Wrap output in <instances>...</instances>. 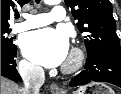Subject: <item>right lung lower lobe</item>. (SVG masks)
<instances>
[{
	"label": "right lung lower lobe",
	"instance_id": "98d812e1",
	"mask_svg": "<svg viewBox=\"0 0 121 94\" xmlns=\"http://www.w3.org/2000/svg\"><path fill=\"white\" fill-rule=\"evenodd\" d=\"M16 54L17 47L1 49V75L13 81H21V78L16 70Z\"/></svg>",
	"mask_w": 121,
	"mask_h": 94
}]
</instances>
